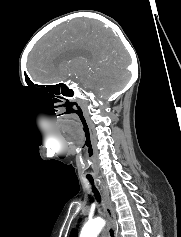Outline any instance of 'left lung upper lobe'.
Segmentation results:
<instances>
[{
  "instance_id": "1",
  "label": "left lung upper lobe",
  "mask_w": 181,
  "mask_h": 237,
  "mask_svg": "<svg viewBox=\"0 0 181 237\" xmlns=\"http://www.w3.org/2000/svg\"><path fill=\"white\" fill-rule=\"evenodd\" d=\"M77 235V232L74 230L72 233H71V237H76Z\"/></svg>"
}]
</instances>
